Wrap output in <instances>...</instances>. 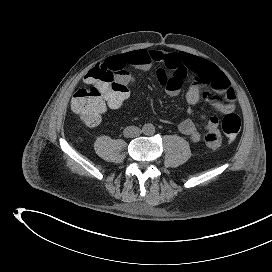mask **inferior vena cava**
I'll list each match as a JSON object with an SVG mask.
<instances>
[{"label":"inferior vena cava","mask_w":272,"mask_h":272,"mask_svg":"<svg viewBox=\"0 0 272 272\" xmlns=\"http://www.w3.org/2000/svg\"><path fill=\"white\" fill-rule=\"evenodd\" d=\"M141 132V129L136 126H128L124 129V136L127 138H133L139 136Z\"/></svg>","instance_id":"1"}]
</instances>
